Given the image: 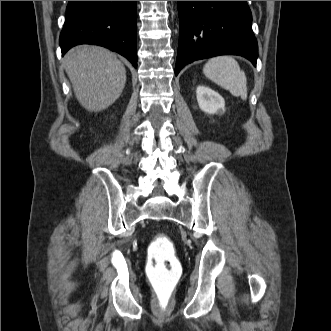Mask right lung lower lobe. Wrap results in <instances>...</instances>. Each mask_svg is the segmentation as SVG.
<instances>
[{"instance_id": "obj_1", "label": "right lung lower lobe", "mask_w": 331, "mask_h": 331, "mask_svg": "<svg viewBox=\"0 0 331 331\" xmlns=\"http://www.w3.org/2000/svg\"><path fill=\"white\" fill-rule=\"evenodd\" d=\"M79 44L109 48L136 68V1H69L60 34L62 55Z\"/></svg>"}]
</instances>
